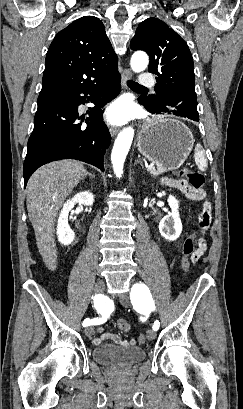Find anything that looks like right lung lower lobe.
<instances>
[{
	"label": "right lung lower lobe",
	"instance_id": "right-lung-lower-lobe-1",
	"mask_svg": "<svg viewBox=\"0 0 243 409\" xmlns=\"http://www.w3.org/2000/svg\"><path fill=\"white\" fill-rule=\"evenodd\" d=\"M120 82V74L115 72L93 85L39 95L23 166L25 186L37 168L60 159H77L104 171L103 156L111 136L102 121L101 107L118 95ZM89 101L95 107L87 112L86 125L78 123V106Z\"/></svg>",
	"mask_w": 243,
	"mask_h": 409
}]
</instances>
